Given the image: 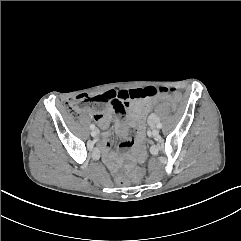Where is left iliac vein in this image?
I'll return each mask as SVG.
<instances>
[{
  "instance_id": "obj_1",
  "label": "left iliac vein",
  "mask_w": 241,
  "mask_h": 241,
  "mask_svg": "<svg viewBox=\"0 0 241 241\" xmlns=\"http://www.w3.org/2000/svg\"><path fill=\"white\" fill-rule=\"evenodd\" d=\"M159 134V130L157 128L152 129V135L157 136Z\"/></svg>"
}]
</instances>
